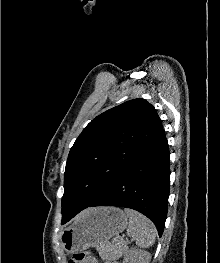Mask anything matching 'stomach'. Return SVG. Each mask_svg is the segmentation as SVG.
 <instances>
[{
	"label": "stomach",
	"instance_id": "0dacf381",
	"mask_svg": "<svg viewBox=\"0 0 220 263\" xmlns=\"http://www.w3.org/2000/svg\"><path fill=\"white\" fill-rule=\"evenodd\" d=\"M128 226L124 212L116 207L91 208L83 212L61 233L60 241L67 253L105 245Z\"/></svg>",
	"mask_w": 220,
	"mask_h": 263
}]
</instances>
